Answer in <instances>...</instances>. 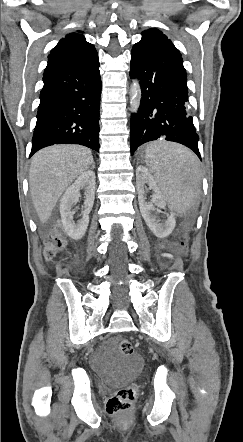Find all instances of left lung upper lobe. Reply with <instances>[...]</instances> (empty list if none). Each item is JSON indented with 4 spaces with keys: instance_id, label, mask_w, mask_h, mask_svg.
I'll list each match as a JSON object with an SVG mask.
<instances>
[{
    "instance_id": "5c2ea615",
    "label": "left lung upper lobe",
    "mask_w": 243,
    "mask_h": 442,
    "mask_svg": "<svg viewBox=\"0 0 243 442\" xmlns=\"http://www.w3.org/2000/svg\"><path fill=\"white\" fill-rule=\"evenodd\" d=\"M142 35H143V36H145V35H156V36H159V37H161V38H163V39H165V40L171 42L170 40L167 39V36H165V35H164L161 31H159L158 29H149V30H147V31H144V32L142 33Z\"/></svg>"
}]
</instances>
